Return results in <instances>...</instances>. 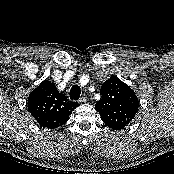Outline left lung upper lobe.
<instances>
[{
    "mask_svg": "<svg viewBox=\"0 0 174 174\" xmlns=\"http://www.w3.org/2000/svg\"><path fill=\"white\" fill-rule=\"evenodd\" d=\"M101 99L95 109L102 121L113 130H122L135 117L139 100L135 92L115 76L106 80L100 89Z\"/></svg>",
    "mask_w": 174,
    "mask_h": 174,
    "instance_id": "5c2ea615",
    "label": "left lung upper lobe"
}]
</instances>
